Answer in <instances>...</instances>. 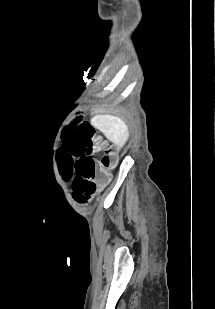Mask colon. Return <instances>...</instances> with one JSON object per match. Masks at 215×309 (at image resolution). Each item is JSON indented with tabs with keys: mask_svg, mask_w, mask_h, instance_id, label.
Here are the masks:
<instances>
[{
	"mask_svg": "<svg viewBox=\"0 0 215 309\" xmlns=\"http://www.w3.org/2000/svg\"><path fill=\"white\" fill-rule=\"evenodd\" d=\"M101 164L103 165L104 170L111 169L115 165L113 154L105 152L102 155Z\"/></svg>",
	"mask_w": 215,
	"mask_h": 309,
	"instance_id": "1",
	"label": "colon"
}]
</instances>
